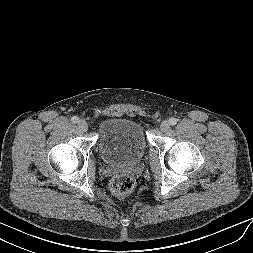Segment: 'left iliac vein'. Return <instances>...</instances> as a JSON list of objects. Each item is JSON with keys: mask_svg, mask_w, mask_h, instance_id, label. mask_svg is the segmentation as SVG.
Masks as SVG:
<instances>
[{"mask_svg": "<svg viewBox=\"0 0 253 253\" xmlns=\"http://www.w3.org/2000/svg\"><path fill=\"white\" fill-rule=\"evenodd\" d=\"M170 128V124L168 121H163L161 124H160V130L162 132H167Z\"/></svg>", "mask_w": 253, "mask_h": 253, "instance_id": "4c4485c4", "label": "left iliac vein"}]
</instances>
